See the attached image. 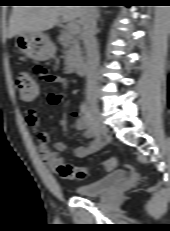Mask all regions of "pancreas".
<instances>
[{
  "instance_id": "pancreas-1",
  "label": "pancreas",
  "mask_w": 170,
  "mask_h": 231,
  "mask_svg": "<svg viewBox=\"0 0 170 231\" xmlns=\"http://www.w3.org/2000/svg\"><path fill=\"white\" fill-rule=\"evenodd\" d=\"M69 45L64 51L65 68L68 71L74 70L81 61V49L78 39L69 31L64 32Z\"/></svg>"
}]
</instances>
